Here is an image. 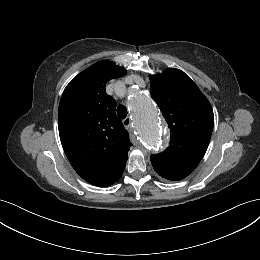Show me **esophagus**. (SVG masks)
<instances>
[{
  "mask_svg": "<svg viewBox=\"0 0 260 260\" xmlns=\"http://www.w3.org/2000/svg\"><path fill=\"white\" fill-rule=\"evenodd\" d=\"M123 125L127 129H129L131 127V119H130V117H127L126 119L123 120Z\"/></svg>",
  "mask_w": 260,
  "mask_h": 260,
  "instance_id": "34e87169",
  "label": "esophagus"
}]
</instances>
